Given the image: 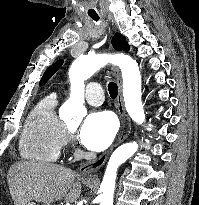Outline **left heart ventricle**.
<instances>
[{
	"mask_svg": "<svg viewBox=\"0 0 199 205\" xmlns=\"http://www.w3.org/2000/svg\"><path fill=\"white\" fill-rule=\"evenodd\" d=\"M75 127H76V124H71V125L69 126V128H70L71 130L75 129Z\"/></svg>",
	"mask_w": 199,
	"mask_h": 205,
	"instance_id": "left-heart-ventricle-1",
	"label": "left heart ventricle"
}]
</instances>
